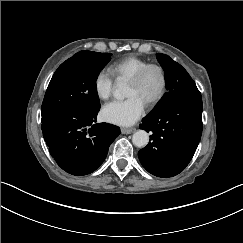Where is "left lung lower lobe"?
<instances>
[{
    "mask_svg": "<svg viewBox=\"0 0 243 243\" xmlns=\"http://www.w3.org/2000/svg\"><path fill=\"white\" fill-rule=\"evenodd\" d=\"M140 128L152 133L148 145L138 152L142 166L162 178L179 174L189 164L201 139V96L174 99L157 114L146 116Z\"/></svg>",
    "mask_w": 243,
    "mask_h": 243,
    "instance_id": "obj_1",
    "label": "left lung lower lobe"
}]
</instances>
